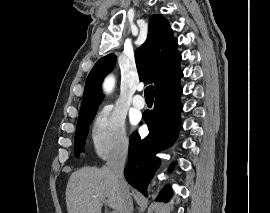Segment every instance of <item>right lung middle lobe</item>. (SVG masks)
<instances>
[{
  "label": "right lung middle lobe",
  "mask_w": 270,
  "mask_h": 213,
  "mask_svg": "<svg viewBox=\"0 0 270 213\" xmlns=\"http://www.w3.org/2000/svg\"><path fill=\"white\" fill-rule=\"evenodd\" d=\"M94 115L95 113H92L90 115L78 119L74 141L77 156H79L80 150H82L84 147L88 126L91 124Z\"/></svg>",
  "instance_id": "right-lung-middle-lobe-1"
}]
</instances>
